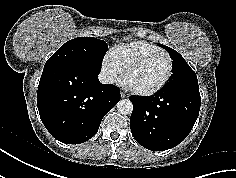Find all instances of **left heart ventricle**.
<instances>
[{"instance_id":"obj_1","label":"left heart ventricle","mask_w":236,"mask_h":178,"mask_svg":"<svg viewBox=\"0 0 236 178\" xmlns=\"http://www.w3.org/2000/svg\"><path fill=\"white\" fill-rule=\"evenodd\" d=\"M169 69V60L164 55L152 57L137 67L127 82L138 89H149L159 84Z\"/></svg>"}]
</instances>
